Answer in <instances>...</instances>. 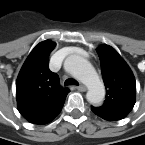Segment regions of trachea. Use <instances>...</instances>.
Listing matches in <instances>:
<instances>
[{"label":"trachea","mask_w":145,"mask_h":145,"mask_svg":"<svg viewBox=\"0 0 145 145\" xmlns=\"http://www.w3.org/2000/svg\"><path fill=\"white\" fill-rule=\"evenodd\" d=\"M65 86H68V85H79L78 82L74 79H67L64 83Z\"/></svg>","instance_id":"trachea-1"}]
</instances>
